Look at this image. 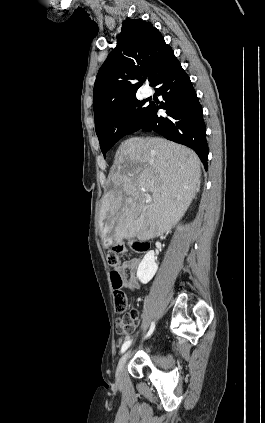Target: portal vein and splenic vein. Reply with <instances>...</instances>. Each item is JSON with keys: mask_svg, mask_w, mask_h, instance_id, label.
Returning a JSON list of instances; mask_svg holds the SVG:
<instances>
[{"mask_svg": "<svg viewBox=\"0 0 265 423\" xmlns=\"http://www.w3.org/2000/svg\"><path fill=\"white\" fill-rule=\"evenodd\" d=\"M151 200H152L151 197L148 195L147 198H146V202L149 203V202H151Z\"/></svg>", "mask_w": 265, "mask_h": 423, "instance_id": "1", "label": "portal vein and splenic vein"}]
</instances>
